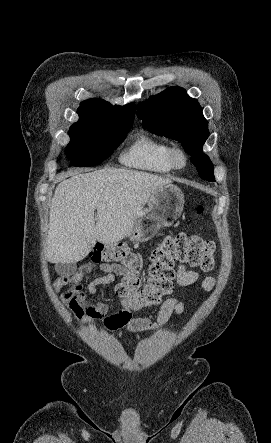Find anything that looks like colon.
Segmentation results:
<instances>
[{"mask_svg":"<svg viewBox=\"0 0 271 443\" xmlns=\"http://www.w3.org/2000/svg\"><path fill=\"white\" fill-rule=\"evenodd\" d=\"M203 212V206L197 208ZM215 244L196 235L179 233L165 236L149 253L146 282L139 278L140 259L126 244L96 243L90 253L94 263H118L127 273L122 276L116 293L127 300L130 309L137 311L158 305L171 292L174 267L177 263L210 271L215 266Z\"/></svg>","mask_w":271,"mask_h":443,"instance_id":"obj_1","label":"colon"}]
</instances>
